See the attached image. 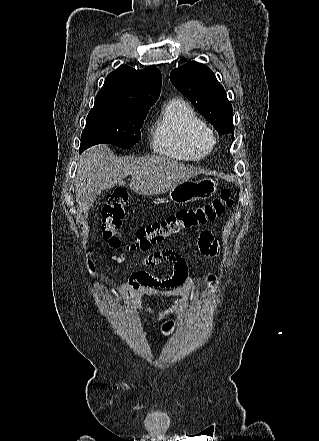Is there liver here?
Listing matches in <instances>:
<instances>
[{
    "instance_id": "obj_1",
    "label": "liver",
    "mask_w": 319,
    "mask_h": 441,
    "mask_svg": "<svg viewBox=\"0 0 319 441\" xmlns=\"http://www.w3.org/2000/svg\"><path fill=\"white\" fill-rule=\"evenodd\" d=\"M198 173L199 169L166 157H118L108 145H97L85 151L80 158L76 202L83 218H87L101 191L118 184L124 185L123 180L128 175H131L130 188L135 193L158 195Z\"/></svg>"
}]
</instances>
